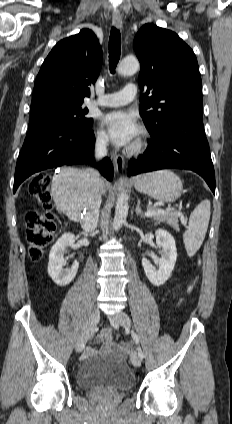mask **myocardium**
<instances>
[{
	"label": "myocardium",
	"mask_w": 232,
	"mask_h": 424,
	"mask_svg": "<svg viewBox=\"0 0 232 424\" xmlns=\"http://www.w3.org/2000/svg\"><path fill=\"white\" fill-rule=\"evenodd\" d=\"M147 147V133L142 131L141 135L127 148V153L129 155H139Z\"/></svg>",
	"instance_id": "myocardium-1"
}]
</instances>
